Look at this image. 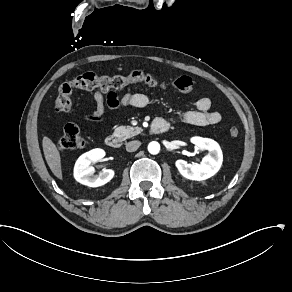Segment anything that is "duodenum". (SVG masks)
<instances>
[{"mask_svg":"<svg viewBox=\"0 0 292 292\" xmlns=\"http://www.w3.org/2000/svg\"><path fill=\"white\" fill-rule=\"evenodd\" d=\"M169 128L170 124L167 120L158 118L152 123L149 131L152 134H164L169 131ZM105 142L112 149H118L120 147V140L116 135L107 136Z\"/></svg>","mask_w":292,"mask_h":292,"instance_id":"obj_1","label":"duodenum"}]
</instances>
